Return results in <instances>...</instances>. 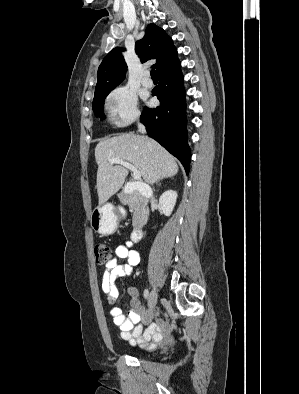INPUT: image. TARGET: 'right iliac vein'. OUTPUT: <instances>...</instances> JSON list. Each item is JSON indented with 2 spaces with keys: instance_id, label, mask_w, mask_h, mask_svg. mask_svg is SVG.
Wrapping results in <instances>:
<instances>
[{
  "instance_id": "1",
  "label": "right iliac vein",
  "mask_w": 299,
  "mask_h": 394,
  "mask_svg": "<svg viewBox=\"0 0 299 394\" xmlns=\"http://www.w3.org/2000/svg\"><path fill=\"white\" fill-rule=\"evenodd\" d=\"M157 299L158 295L155 289H153L150 293L149 299H148V306L150 309H154L156 304H157Z\"/></svg>"
}]
</instances>
